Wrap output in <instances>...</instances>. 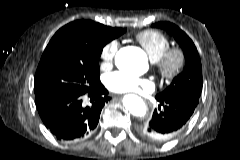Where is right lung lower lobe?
<instances>
[{
  "label": "right lung lower lobe",
  "mask_w": 240,
  "mask_h": 160,
  "mask_svg": "<svg viewBox=\"0 0 240 160\" xmlns=\"http://www.w3.org/2000/svg\"><path fill=\"white\" fill-rule=\"evenodd\" d=\"M106 94L107 90L100 82L86 93L51 89L35 95V99L43 123L58 139L78 140L97 126L101 110L110 100ZM85 95L90 97L91 105L83 103Z\"/></svg>",
  "instance_id": "obj_1"
}]
</instances>
